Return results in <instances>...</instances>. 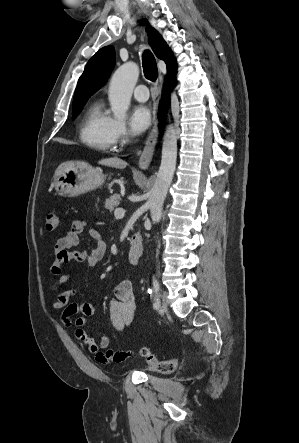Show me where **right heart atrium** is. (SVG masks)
<instances>
[{"label": "right heart atrium", "instance_id": "obj_1", "mask_svg": "<svg viewBox=\"0 0 299 443\" xmlns=\"http://www.w3.org/2000/svg\"><path fill=\"white\" fill-rule=\"evenodd\" d=\"M128 137V130L125 122L113 119L112 124V139L114 144L123 143Z\"/></svg>", "mask_w": 299, "mask_h": 443}]
</instances>
